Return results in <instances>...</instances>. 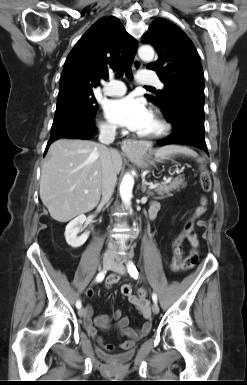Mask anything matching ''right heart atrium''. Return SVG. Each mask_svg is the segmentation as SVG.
<instances>
[{"label": "right heart atrium", "mask_w": 247, "mask_h": 385, "mask_svg": "<svg viewBox=\"0 0 247 385\" xmlns=\"http://www.w3.org/2000/svg\"><path fill=\"white\" fill-rule=\"evenodd\" d=\"M99 128L102 132L107 134H113L116 131V126L109 121H101L99 123Z\"/></svg>", "instance_id": "1"}]
</instances>
